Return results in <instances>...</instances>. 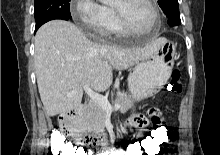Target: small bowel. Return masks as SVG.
Returning <instances> with one entry per match:
<instances>
[{
  "instance_id": "obj_1",
  "label": "small bowel",
  "mask_w": 220,
  "mask_h": 155,
  "mask_svg": "<svg viewBox=\"0 0 220 155\" xmlns=\"http://www.w3.org/2000/svg\"><path fill=\"white\" fill-rule=\"evenodd\" d=\"M149 111H150V113H155L156 112L157 114H159L155 110V108H150ZM127 123H128V125H130L132 127H135L140 131H143L144 128L146 127V125L148 124V121H147L145 116L137 115L133 118H130L127 121ZM166 129H168V126H167ZM167 135H169V134H167ZM142 139H144V136H143ZM108 144H109V141L105 140L104 136H91V140H86V145H108ZM125 149L113 148V149L105 151L102 155H128V153L126 152Z\"/></svg>"
}]
</instances>
